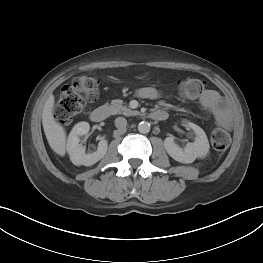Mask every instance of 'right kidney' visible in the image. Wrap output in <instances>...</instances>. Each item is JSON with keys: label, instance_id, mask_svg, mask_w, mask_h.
Segmentation results:
<instances>
[{"label": "right kidney", "instance_id": "obj_1", "mask_svg": "<svg viewBox=\"0 0 263 263\" xmlns=\"http://www.w3.org/2000/svg\"><path fill=\"white\" fill-rule=\"evenodd\" d=\"M90 130L88 122L82 121L77 123L71 130L67 140V151L70 160L76 166H91L101 160L107 153L108 142L102 139L98 143L97 151L91 154L85 153V148L80 144V137L87 135Z\"/></svg>", "mask_w": 263, "mask_h": 263}]
</instances>
